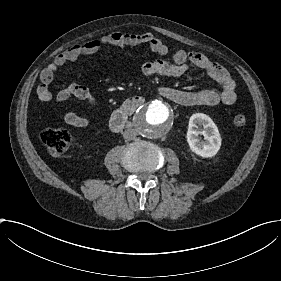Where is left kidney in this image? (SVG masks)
<instances>
[{
	"instance_id": "1",
	"label": "left kidney",
	"mask_w": 281,
	"mask_h": 281,
	"mask_svg": "<svg viewBox=\"0 0 281 281\" xmlns=\"http://www.w3.org/2000/svg\"><path fill=\"white\" fill-rule=\"evenodd\" d=\"M198 124L203 125L204 129H207L204 132L205 142H201L198 138L199 132L196 130ZM186 140L190 150L202 158L214 157L221 147V136L216 124L209 116L203 113H197L191 116Z\"/></svg>"
}]
</instances>
